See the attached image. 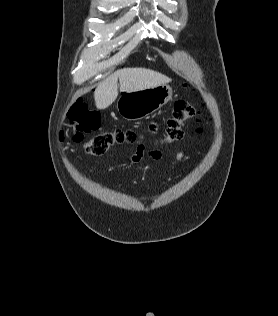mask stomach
I'll return each mask as SVG.
<instances>
[{
    "instance_id": "0dacf381",
    "label": "stomach",
    "mask_w": 278,
    "mask_h": 316,
    "mask_svg": "<svg viewBox=\"0 0 278 316\" xmlns=\"http://www.w3.org/2000/svg\"><path fill=\"white\" fill-rule=\"evenodd\" d=\"M172 98L167 84L122 94L117 102L119 114L127 120L141 119L154 113Z\"/></svg>"
}]
</instances>
